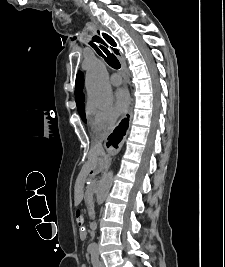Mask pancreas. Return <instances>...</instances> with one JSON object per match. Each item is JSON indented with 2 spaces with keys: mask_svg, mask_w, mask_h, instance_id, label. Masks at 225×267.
<instances>
[{
  "mask_svg": "<svg viewBox=\"0 0 225 267\" xmlns=\"http://www.w3.org/2000/svg\"><path fill=\"white\" fill-rule=\"evenodd\" d=\"M85 203L88 209L89 214H91L93 210V192H92V186L87 187L86 193H85Z\"/></svg>",
  "mask_w": 225,
  "mask_h": 267,
  "instance_id": "cf45deb5",
  "label": "pancreas"
}]
</instances>
